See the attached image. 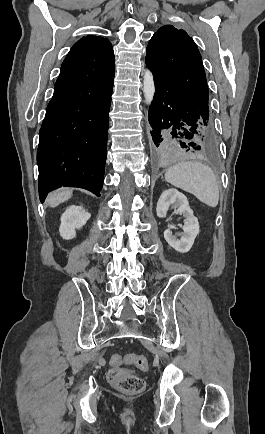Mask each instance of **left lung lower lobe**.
Returning a JSON list of instances; mask_svg holds the SVG:
<instances>
[{
  "instance_id": "1",
  "label": "left lung lower lobe",
  "mask_w": 265,
  "mask_h": 434,
  "mask_svg": "<svg viewBox=\"0 0 265 434\" xmlns=\"http://www.w3.org/2000/svg\"><path fill=\"white\" fill-rule=\"evenodd\" d=\"M146 65L153 72L156 85L148 113L154 151L166 155L181 148L214 153L218 138L209 109L200 107L148 59Z\"/></svg>"
}]
</instances>
